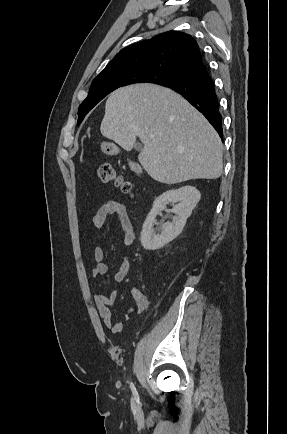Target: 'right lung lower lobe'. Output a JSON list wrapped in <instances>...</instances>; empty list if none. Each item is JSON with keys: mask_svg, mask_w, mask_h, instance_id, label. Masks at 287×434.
Listing matches in <instances>:
<instances>
[{"mask_svg": "<svg viewBox=\"0 0 287 434\" xmlns=\"http://www.w3.org/2000/svg\"><path fill=\"white\" fill-rule=\"evenodd\" d=\"M181 94L198 111H200L222 138V117L214 82L205 63L186 72L174 83L167 85Z\"/></svg>", "mask_w": 287, "mask_h": 434, "instance_id": "98d812e1", "label": "right lung lower lobe"}]
</instances>
